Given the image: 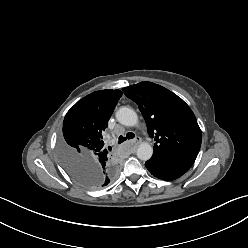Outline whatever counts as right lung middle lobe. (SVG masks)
<instances>
[{
    "instance_id": "obj_1",
    "label": "right lung middle lobe",
    "mask_w": 248,
    "mask_h": 248,
    "mask_svg": "<svg viewBox=\"0 0 248 248\" xmlns=\"http://www.w3.org/2000/svg\"><path fill=\"white\" fill-rule=\"evenodd\" d=\"M59 153L65 170L77 183L86 187H94L100 184V182H97L100 179V172L97 169L88 166L87 162L80 157L74 155L68 159L64 157L63 139L60 142ZM66 160H68V163H66Z\"/></svg>"
}]
</instances>
